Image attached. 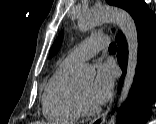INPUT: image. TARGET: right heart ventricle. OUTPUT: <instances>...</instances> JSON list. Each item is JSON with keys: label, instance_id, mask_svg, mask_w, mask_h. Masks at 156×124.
I'll use <instances>...</instances> for the list:
<instances>
[{"label": "right heart ventricle", "instance_id": "1", "mask_svg": "<svg viewBox=\"0 0 156 124\" xmlns=\"http://www.w3.org/2000/svg\"><path fill=\"white\" fill-rule=\"evenodd\" d=\"M72 67L61 62L45 86L42 111L48 120L71 124L77 122L82 116L77 85L69 78Z\"/></svg>", "mask_w": 156, "mask_h": 124}]
</instances>
